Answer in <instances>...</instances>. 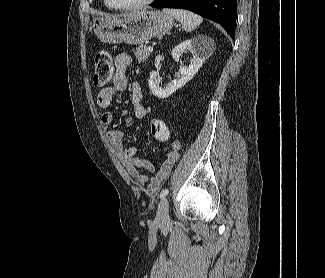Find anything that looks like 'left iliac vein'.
<instances>
[{
	"label": "left iliac vein",
	"mask_w": 325,
	"mask_h": 278,
	"mask_svg": "<svg viewBox=\"0 0 325 278\" xmlns=\"http://www.w3.org/2000/svg\"><path fill=\"white\" fill-rule=\"evenodd\" d=\"M169 221V203L167 198H163L158 204L156 213V223L158 225H164Z\"/></svg>",
	"instance_id": "4c4485c4"
}]
</instances>
